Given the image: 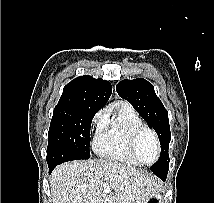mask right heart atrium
Returning a JSON list of instances; mask_svg holds the SVG:
<instances>
[{
	"mask_svg": "<svg viewBox=\"0 0 214 203\" xmlns=\"http://www.w3.org/2000/svg\"><path fill=\"white\" fill-rule=\"evenodd\" d=\"M104 120H105V113L100 111L93 116L91 123L93 126L100 128L103 125Z\"/></svg>",
	"mask_w": 214,
	"mask_h": 203,
	"instance_id": "obj_1",
	"label": "right heart atrium"
}]
</instances>
